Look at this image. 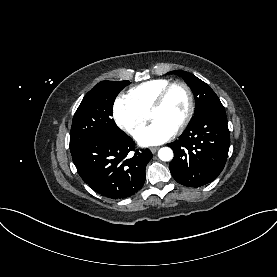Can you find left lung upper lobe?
<instances>
[{"label": "left lung upper lobe", "instance_id": "obj_1", "mask_svg": "<svg viewBox=\"0 0 277 277\" xmlns=\"http://www.w3.org/2000/svg\"><path fill=\"white\" fill-rule=\"evenodd\" d=\"M168 74H176L182 77L188 86L191 88L195 96V115L193 120L196 119L199 115L207 111L209 108L221 104L218 96L210 88L208 84L197 78L191 73H188L183 70L171 71Z\"/></svg>", "mask_w": 277, "mask_h": 277}]
</instances>
